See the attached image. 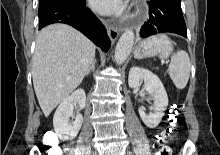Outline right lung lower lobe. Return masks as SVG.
<instances>
[{
    "instance_id": "98d812e1",
    "label": "right lung lower lobe",
    "mask_w": 220,
    "mask_h": 155,
    "mask_svg": "<svg viewBox=\"0 0 220 155\" xmlns=\"http://www.w3.org/2000/svg\"><path fill=\"white\" fill-rule=\"evenodd\" d=\"M39 29L52 23H65L76 28L99 46L104 52L111 42L105 27L89 8L85 0L61 1L39 9Z\"/></svg>"
}]
</instances>
